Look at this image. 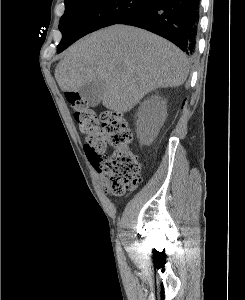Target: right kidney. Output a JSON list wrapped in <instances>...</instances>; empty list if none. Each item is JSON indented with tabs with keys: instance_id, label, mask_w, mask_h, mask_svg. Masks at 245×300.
I'll list each match as a JSON object with an SVG mask.
<instances>
[{
	"instance_id": "1",
	"label": "right kidney",
	"mask_w": 245,
	"mask_h": 300,
	"mask_svg": "<svg viewBox=\"0 0 245 300\" xmlns=\"http://www.w3.org/2000/svg\"><path fill=\"white\" fill-rule=\"evenodd\" d=\"M136 133L143 144H150L158 135L167 117V103L158 95L145 100L137 113Z\"/></svg>"
}]
</instances>
